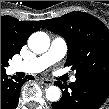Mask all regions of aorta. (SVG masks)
Masks as SVG:
<instances>
[{"instance_id": "obj_1", "label": "aorta", "mask_w": 109, "mask_h": 109, "mask_svg": "<svg viewBox=\"0 0 109 109\" xmlns=\"http://www.w3.org/2000/svg\"><path fill=\"white\" fill-rule=\"evenodd\" d=\"M29 48L37 54L46 52L50 47L49 36L45 32H35L28 39ZM61 97V90L57 86H50L46 90V98L51 102H57Z\"/></svg>"}]
</instances>
